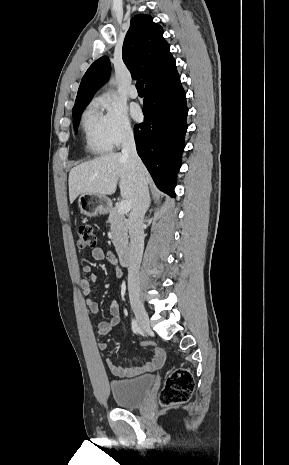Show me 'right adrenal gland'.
<instances>
[{"instance_id":"2a0ac1e0","label":"right adrenal gland","mask_w":289,"mask_h":465,"mask_svg":"<svg viewBox=\"0 0 289 465\" xmlns=\"http://www.w3.org/2000/svg\"><path fill=\"white\" fill-rule=\"evenodd\" d=\"M150 205H151V200L149 201V205H148V208L150 207Z\"/></svg>"}]
</instances>
